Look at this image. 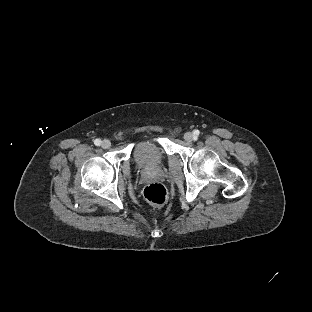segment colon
I'll return each instance as SVG.
<instances>
[{"label": "colon", "instance_id": "obj_1", "mask_svg": "<svg viewBox=\"0 0 312 312\" xmlns=\"http://www.w3.org/2000/svg\"><path fill=\"white\" fill-rule=\"evenodd\" d=\"M147 201L155 206L163 205L167 200V190L159 183H151L143 190Z\"/></svg>", "mask_w": 312, "mask_h": 312}]
</instances>
